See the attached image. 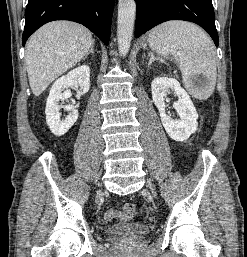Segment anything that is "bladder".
I'll return each instance as SVG.
<instances>
[{
  "mask_svg": "<svg viewBox=\"0 0 247 257\" xmlns=\"http://www.w3.org/2000/svg\"><path fill=\"white\" fill-rule=\"evenodd\" d=\"M105 233L112 237L125 240H139L151 233L147 225L136 223H120L107 227Z\"/></svg>",
  "mask_w": 247,
  "mask_h": 257,
  "instance_id": "1",
  "label": "bladder"
}]
</instances>
